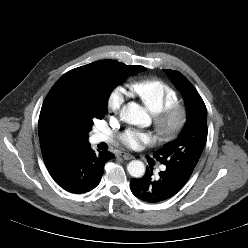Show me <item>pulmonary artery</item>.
<instances>
[{
    "mask_svg": "<svg viewBox=\"0 0 248 248\" xmlns=\"http://www.w3.org/2000/svg\"><path fill=\"white\" fill-rule=\"evenodd\" d=\"M108 141V137L102 133H96L93 137H92V143H100V142H105ZM166 167L162 166L161 170H165Z\"/></svg>",
    "mask_w": 248,
    "mask_h": 248,
    "instance_id": "pulmonary-artery-1",
    "label": "pulmonary artery"
}]
</instances>
